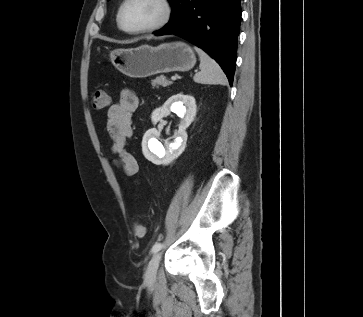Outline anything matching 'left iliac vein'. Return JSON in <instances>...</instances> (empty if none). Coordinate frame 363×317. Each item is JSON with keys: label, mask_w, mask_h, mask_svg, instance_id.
I'll return each mask as SVG.
<instances>
[{"label": "left iliac vein", "mask_w": 363, "mask_h": 317, "mask_svg": "<svg viewBox=\"0 0 363 317\" xmlns=\"http://www.w3.org/2000/svg\"><path fill=\"white\" fill-rule=\"evenodd\" d=\"M160 259H161V254L157 252L153 255L152 259L150 260L145 273V280L147 282H153L156 279L157 269L159 266Z\"/></svg>", "instance_id": "4c4485c4"}]
</instances>
